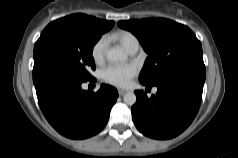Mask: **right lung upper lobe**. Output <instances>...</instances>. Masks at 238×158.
Listing matches in <instances>:
<instances>
[{
  "label": "right lung upper lobe",
  "instance_id": "obj_1",
  "mask_svg": "<svg viewBox=\"0 0 238 158\" xmlns=\"http://www.w3.org/2000/svg\"><path fill=\"white\" fill-rule=\"evenodd\" d=\"M67 17L85 20V21L97 26L98 28H101V29L105 30L106 32L108 30H110L114 25V21H107V20L97 19L95 17L87 16V15H84V14H73V15H70V16H67Z\"/></svg>",
  "mask_w": 238,
  "mask_h": 158
}]
</instances>
